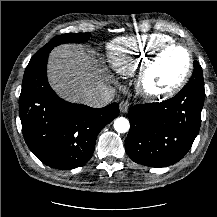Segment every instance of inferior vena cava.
Listing matches in <instances>:
<instances>
[{
	"instance_id": "inferior-vena-cava-1",
	"label": "inferior vena cava",
	"mask_w": 217,
	"mask_h": 217,
	"mask_svg": "<svg viewBox=\"0 0 217 217\" xmlns=\"http://www.w3.org/2000/svg\"><path fill=\"white\" fill-rule=\"evenodd\" d=\"M114 93L113 88L98 86L84 97L83 103L93 108H102L113 101Z\"/></svg>"
}]
</instances>
